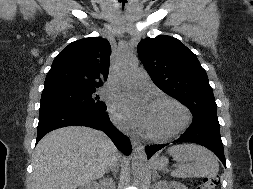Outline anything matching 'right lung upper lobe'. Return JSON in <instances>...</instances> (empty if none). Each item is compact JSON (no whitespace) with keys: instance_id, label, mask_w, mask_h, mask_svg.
I'll list each match as a JSON object with an SVG mask.
<instances>
[{"instance_id":"cb5924a9","label":"right lung upper lobe","mask_w":253,"mask_h":189,"mask_svg":"<svg viewBox=\"0 0 253 189\" xmlns=\"http://www.w3.org/2000/svg\"><path fill=\"white\" fill-rule=\"evenodd\" d=\"M111 47L102 37L70 43L52 63L44 89L54 87H100L109 73Z\"/></svg>"}]
</instances>
